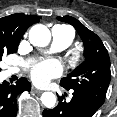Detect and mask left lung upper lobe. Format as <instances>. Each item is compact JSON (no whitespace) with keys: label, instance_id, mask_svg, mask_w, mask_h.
I'll return each mask as SVG.
<instances>
[{"label":"left lung upper lobe","instance_id":"5c2ea615","mask_svg":"<svg viewBox=\"0 0 117 117\" xmlns=\"http://www.w3.org/2000/svg\"><path fill=\"white\" fill-rule=\"evenodd\" d=\"M57 19L71 24L76 29L84 43L86 58L67 77L61 79L60 85L66 90L73 89L84 93L102 105L111 80L110 59L103 42L77 19L71 16Z\"/></svg>","mask_w":117,"mask_h":117}]
</instances>
